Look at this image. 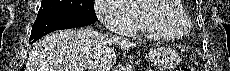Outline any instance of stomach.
Wrapping results in <instances>:
<instances>
[{
  "label": "stomach",
  "instance_id": "1",
  "mask_svg": "<svg viewBox=\"0 0 230 71\" xmlns=\"http://www.w3.org/2000/svg\"><path fill=\"white\" fill-rule=\"evenodd\" d=\"M149 59L151 62L164 70L172 69L179 62L177 52L170 48L157 47L149 52Z\"/></svg>",
  "mask_w": 230,
  "mask_h": 71
}]
</instances>
